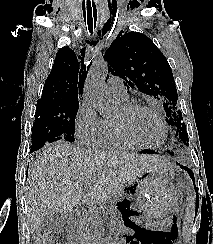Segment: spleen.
<instances>
[{
    "instance_id": "spleen-1",
    "label": "spleen",
    "mask_w": 213,
    "mask_h": 244,
    "mask_svg": "<svg viewBox=\"0 0 213 244\" xmlns=\"http://www.w3.org/2000/svg\"><path fill=\"white\" fill-rule=\"evenodd\" d=\"M195 217V196L193 193L189 194L188 203L186 205L185 216L183 219V237L186 241L190 240L193 220Z\"/></svg>"
}]
</instances>
